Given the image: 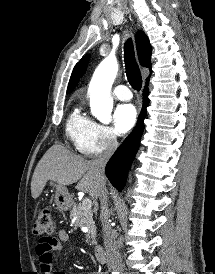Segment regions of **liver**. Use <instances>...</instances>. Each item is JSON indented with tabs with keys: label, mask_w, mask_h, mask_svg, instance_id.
<instances>
[{
	"label": "liver",
	"mask_w": 215,
	"mask_h": 274,
	"mask_svg": "<svg viewBox=\"0 0 215 274\" xmlns=\"http://www.w3.org/2000/svg\"><path fill=\"white\" fill-rule=\"evenodd\" d=\"M48 180L63 186L78 181L77 190L89 193L93 200L99 196L101 181L91 161L61 145H53L37 164L31 181V194L34 199L42 193Z\"/></svg>",
	"instance_id": "liver-1"
}]
</instances>
